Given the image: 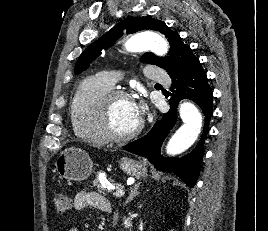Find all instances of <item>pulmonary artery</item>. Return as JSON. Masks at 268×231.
Returning <instances> with one entry per match:
<instances>
[{"instance_id":"pulmonary-artery-1","label":"pulmonary artery","mask_w":268,"mask_h":231,"mask_svg":"<svg viewBox=\"0 0 268 231\" xmlns=\"http://www.w3.org/2000/svg\"><path fill=\"white\" fill-rule=\"evenodd\" d=\"M146 76L149 81L153 82L164 83L167 79V74L159 66L156 65H148L146 67ZM102 80L105 81L108 85L113 86L116 83L117 78L110 72H104Z\"/></svg>"}]
</instances>
